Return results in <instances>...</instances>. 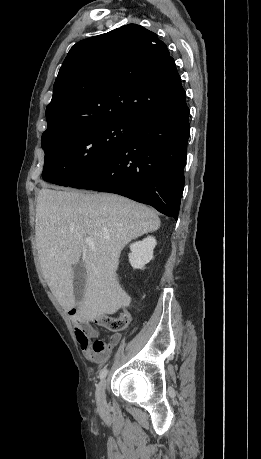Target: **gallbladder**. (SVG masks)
<instances>
[{
  "mask_svg": "<svg viewBox=\"0 0 261 459\" xmlns=\"http://www.w3.org/2000/svg\"><path fill=\"white\" fill-rule=\"evenodd\" d=\"M87 274L82 260H80L73 268V288L75 300L79 301L83 298L86 284Z\"/></svg>",
  "mask_w": 261,
  "mask_h": 459,
  "instance_id": "gallbladder-1",
  "label": "gallbladder"
}]
</instances>
